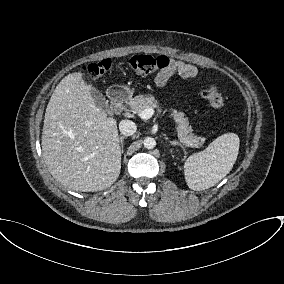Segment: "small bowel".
Listing matches in <instances>:
<instances>
[{"mask_svg":"<svg viewBox=\"0 0 284 284\" xmlns=\"http://www.w3.org/2000/svg\"><path fill=\"white\" fill-rule=\"evenodd\" d=\"M175 74L183 78H194L199 75V70L194 65L183 61L170 60L169 66L157 74L155 82L158 86L163 87Z\"/></svg>","mask_w":284,"mask_h":284,"instance_id":"1","label":"small bowel"}]
</instances>
